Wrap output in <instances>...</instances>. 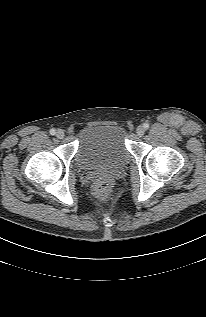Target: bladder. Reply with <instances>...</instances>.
Here are the masks:
<instances>
[{
    "mask_svg": "<svg viewBox=\"0 0 206 317\" xmlns=\"http://www.w3.org/2000/svg\"><path fill=\"white\" fill-rule=\"evenodd\" d=\"M128 154L125 130L120 125H90L80 132L76 162L83 171L119 168L127 162Z\"/></svg>",
    "mask_w": 206,
    "mask_h": 317,
    "instance_id": "31cf9c89",
    "label": "bladder"
}]
</instances>
